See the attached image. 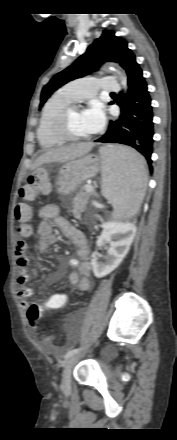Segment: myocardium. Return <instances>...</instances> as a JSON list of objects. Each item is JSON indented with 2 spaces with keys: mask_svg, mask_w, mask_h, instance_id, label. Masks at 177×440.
Here are the masks:
<instances>
[{
  "mask_svg": "<svg viewBox=\"0 0 177 440\" xmlns=\"http://www.w3.org/2000/svg\"><path fill=\"white\" fill-rule=\"evenodd\" d=\"M79 110V106L75 104H70L65 106L56 116L52 130L54 134L59 138L62 142H78L87 140L89 135L87 136H74L70 134L68 130V118L72 110Z\"/></svg>",
  "mask_w": 177,
  "mask_h": 440,
  "instance_id": "myocardium-1",
  "label": "myocardium"
}]
</instances>
